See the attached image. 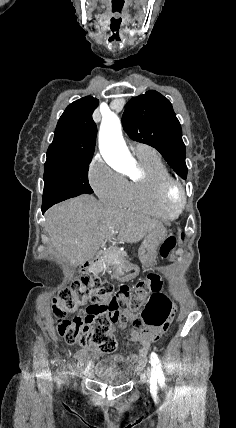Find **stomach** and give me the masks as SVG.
<instances>
[{"label": "stomach", "instance_id": "0dacf381", "mask_svg": "<svg viewBox=\"0 0 236 428\" xmlns=\"http://www.w3.org/2000/svg\"><path fill=\"white\" fill-rule=\"evenodd\" d=\"M165 238V228H156V230L148 232L147 236H145L138 250L139 260H141L144 269L154 268V262L158 256L157 250ZM115 272L116 278L119 279V282L124 283L126 286L129 285L131 279L139 278L138 267L133 266V264L130 263L117 266Z\"/></svg>", "mask_w": 236, "mask_h": 428}]
</instances>
